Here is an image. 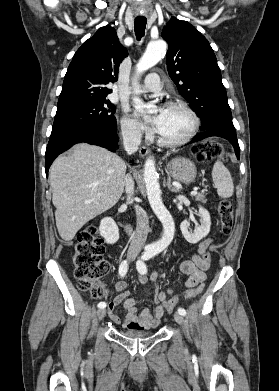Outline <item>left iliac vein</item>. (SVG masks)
Returning <instances> with one entry per match:
<instances>
[{
	"mask_svg": "<svg viewBox=\"0 0 279 391\" xmlns=\"http://www.w3.org/2000/svg\"><path fill=\"white\" fill-rule=\"evenodd\" d=\"M174 320H175L179 325H184V324H185V320H184L183 315H181V314H179V313H174Z\"/></svg>",
	"mask_w": 279,
	"mask_h": 391,
	"instance_id": "4c4485c4",
	"label": "left iliac vein"
}]
</instances>
